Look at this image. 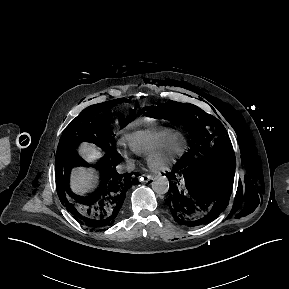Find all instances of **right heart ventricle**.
Listing matches in <instances>:
<instances>
[{"instance_id":"right-heart-ventricle-1","label":"right heart ventricle","mask_w":289,"mask_h":289,"mask_svg":"<svg viewBox=\"0 0 289 289\" xmlns=\"http://www.w3.org/2000/svg\"><path fill=\"white\" fill-rule=\"evenodd\" d=\"M178 134V131L171 128H150L127 135L124 142L133 153L147 156Z\"/></svg>"}]
</instances>
